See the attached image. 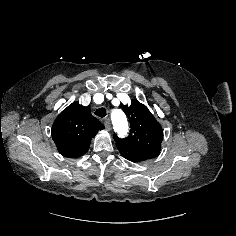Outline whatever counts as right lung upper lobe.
<instances>
[{
	"label": "right lung upper lobe",
	"instance_id": "right-lung-upper-lobe-1",
	"mask_svg": "<svg viewBox=\"0 0 236 236\" xmlns=\"http://www.w3.org/2000/svg\"><path fill=\"white\" fill-rule=\"evenodd\" d=\"M104 128L87 107L73 102L55 119L52 138L63 156L77 158L88 151L92 138Z\"/></svg>",
	"mask_w": 236,
	"mask_h": 236
}]
</instances>
